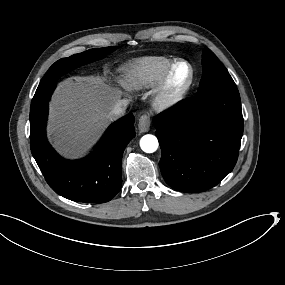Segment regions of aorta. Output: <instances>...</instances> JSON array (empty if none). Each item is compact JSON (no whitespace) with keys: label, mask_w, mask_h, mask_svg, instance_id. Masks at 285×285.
Here are the masks:
<instances>
[{"label":"aorta","mask_w":285,"mask_h":285,"mask_svg":"<svg viewBox=\"0 0 285 285\" xmlns=\"http://www.w3.org/2000/svg\"><path fill=\"white\" fill-rule=\"evenodd\" d=\"M158 146V140L153 135H145L140 140V147L146 153H154Z\"/></svg>","instance_id":"aorta-1"}]
</instances>
